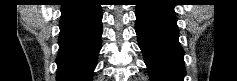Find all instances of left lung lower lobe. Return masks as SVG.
Wrapping results in <instances>:
<instances>
[{"label": "left lung lower lobe", "instance_id": "0a47b994", "mask_svg": "<svg viewBox=\"0 0 237 81\" xmlns=\"http://www.w3.org/2000/svg\"><path fill=\"white\" fill-rule=\"evenodd\" d=\"M136 6V33L151 81H182L184 51L178 41L174 4L143 0Z\"/></svg>", "mask_w": 237, "mask_h": 81}]
</instances>
